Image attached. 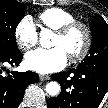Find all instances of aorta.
<instances>
[{"label": "aorta", "mask_w": 108, "mask_h": 108, "mask_svg": "<svg viewBox=\"0 0 108 108\" xmlns=\"http://www.w3.org/2000/svg\"><path fill=\"white\" fill-rule=\"evenodd\" d=\"M52 31L49 29H44L41 31L40 33V44L42 47L44 48H49L50 47V39L52 37ZM60 85L53 81V82H49L46 85V92L51 95V96H56L60 93Z\"/></svg>", "instance_id": "1"}]
</instances>
